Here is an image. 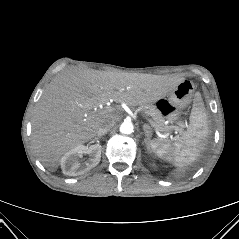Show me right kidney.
Returning <instances> with one entry per match:
<instances>
[{
    "mask_svg": "<svg viewBox=\"0 0 239 239\" xmlns=\"http://www.w3.org/2000/svg\"><path fill=\"white\" fill-rule=\"evenodd\" d=\"M83 154L89 158L85 162H80ZM101 159V145L90 146L79 145L68 151L61 159V168L65 175L77 176L84 174L97 166Z\"/></svg>",
    "mask_w": 239,
    "mask_h": 239,
    "instance_id": "1",
    "label": "right kidney"
}]
</instances>
